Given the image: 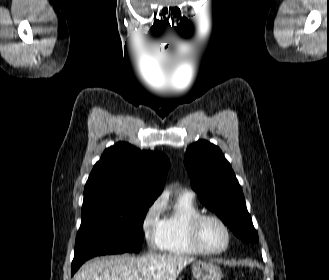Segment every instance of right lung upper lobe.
Here are the masks:
<instances>
[{"label":"right lung upper lobe","instance_id":"cb5924a9","mask_svg":"<svg viewBox=\"0 0 329 280\" xmlns=\"http://www.w3.org/2000/svg\"><path fill=\"white\" fill-rule=\"evenodd\" d=\"M169 159L126 142L107 148L94 165L84 190L83 208L119 197L157 198L166 180Z\"/></svg>","mask_w":329,"mask_h":280}]
</instances>
